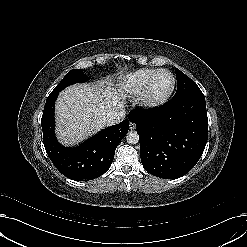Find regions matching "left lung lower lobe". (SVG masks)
<instances>
[{"instance_id": "1", "label": "left lung lower lobe", "mask_w": 247, "mask_h": 247, "mask_svg": "<svg viewBox=\"0 0 247 247\" xmlns=\"http://www.w3.org/2000/svg\"><path fill=\"white\" fill-rule=\"evenodd\" d=\"M144 169L164 179L187 174L199 161L207 139L208 118L201 91L172 98L158 108L132 110Z\"/></svg>"}]
</instances>
